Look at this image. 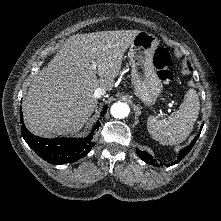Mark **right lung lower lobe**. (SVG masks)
I'll return each mask as SVG.
<instances>
[{
	"label": "right lung lower lobe",
	"instance_id": "obj_1",
	"mask_svg": "<svg viewBox=\"0 0 221 221\" xmlns=\"http://www.w3.org/2000/svg\"><path fill=\"white\" fill-rule=\"evenodd\" d=\"M107 111L106 107L101 112L102 116ZM21 124H23L22 112H20ZM100 127L99 120L94 125L92 132ZM22 136L27 144L44 160L51 164L59 165L72 163L83 158L95 145L92 141V133L83 139L55 138L46 139L34 136L24 126H21Z\"/></svg>",
	"mask_w": 221,
	"mask_h": 221
}]
</instances>
